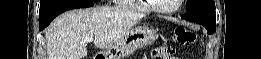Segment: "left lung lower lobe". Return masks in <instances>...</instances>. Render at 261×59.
<instances>
[{
  "label": "left lung lower lobe",
  "mask_w": 261,
  "mask_h": 59,
  "mask_svg": "<svg viewBox=\"0 0 261 59\" xmlns=\"http://www.w3.org/2000/svg\"><path fill=\"white\" fill-rule=\"evenodd\" d=\"M181 18L202 24L206 28L208 34H212L215 31L216 17L199 14V13H189L183 15Z\"/></svg>",
  "instance_id": "0a47b994"
}]
</instances>
